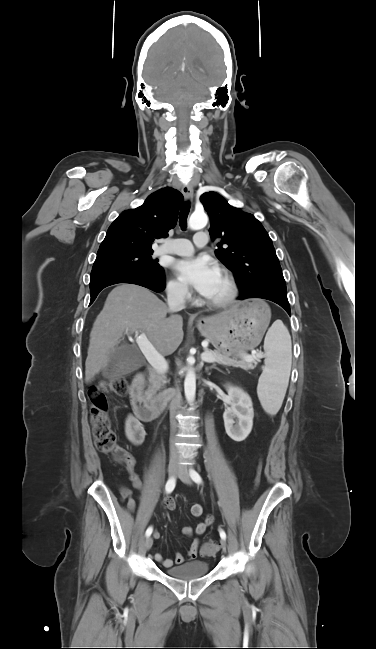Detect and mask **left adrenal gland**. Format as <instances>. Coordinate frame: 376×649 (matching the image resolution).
<instances>
[{"instance_id": "left-adrenal-gland-1", "label": "left adrenal gland", "mask_w": 376, "mask_h": 649, "mask_svg": "<svg viewBox=\"0 0 376 649\" xmlns=\"http://www.w3.org/2000/svg\"><path fill=\"white\" fill-rule=\"evenodd\" d=\"M212 368H214V367H213V366H209V367H206L205 370H206L207 372H209V370H211Z\"/></svg>"}]
</instances>
